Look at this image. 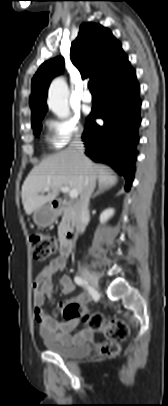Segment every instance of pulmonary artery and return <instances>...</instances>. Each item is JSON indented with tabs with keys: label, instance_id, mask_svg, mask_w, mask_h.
Returning <instances> with one entry per match:
<instances>
[{
	"label": "pulmonary artery",
	"instance_id": "obj_1",
	"mask_svg": "<svg viewBox=\"0 0 168 406\" xmlns=\"http://www.w3.org/2000/svg\"><path fill=\"white\" fill-rule=\"evenodd\" d=\"M81 99L85 103H91L93 98L91 93L88 91L87 87L84 88L82 94H81Z\"/></svg>",
	"mask_w": 168,
	"mask_h": 406
}]
</instances>
